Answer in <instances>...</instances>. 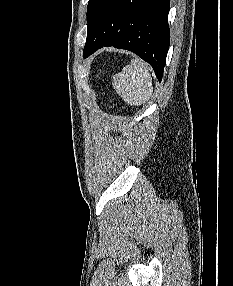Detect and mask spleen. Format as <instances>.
I'll list each match as a JSON object with an SVG mask.
<instances>
[{"label":"spleen","instance_id":"spleen-1","mask_svg":"<svg viewBox=\"0 0 233 286\" xmlns=\"http://www.w3.org/2000/svg\"><path fill=\"white\" fill-rule=\"evenodd\" d=\"M149 65L139 58L132 59L130 65L113 76V87L117 94L129 105L140 106L150 98L153 87Z\"/></svg>","mask_w":233,"mask_h":286}]
</instances>
